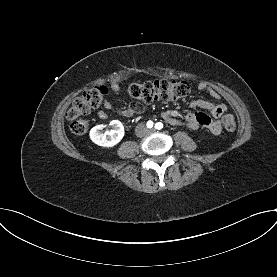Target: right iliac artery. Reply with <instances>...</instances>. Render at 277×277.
I'll return each mask as SVG.
<instances>
[{"label": "right iliac artery", "mask_w": 277, "mask_h": 277, "mask_svg": "<svg viewBox=\"0 0 277 277\" xmlns=\"http://www.w3.org/2000/svg\"><path fill=\"white\" fill-rule=\"evenodd\" d=\"M152 126H153V122H152V121H148V122H147V127H148V128H151Z\"/></svg>", "instance_id": "1"}]
</instances>
